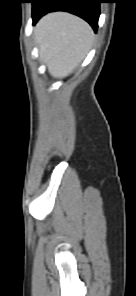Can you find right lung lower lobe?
<instances>
[{"mask_svg": "<svg viewBox=\"0 0 136 296\" xmlns=\"http://www.w3.org/2000/svg\"><path fill=\"white\" fill-rule=\"evenodd\" d=\"M102 0H38L33 6V24L52 11H67L86 20L97 31Z\"/></svg>", "mask_w": 136, "mask_h": 296, "instance_id": "1", "label": "right lung lower lobe"}]
</instances>
